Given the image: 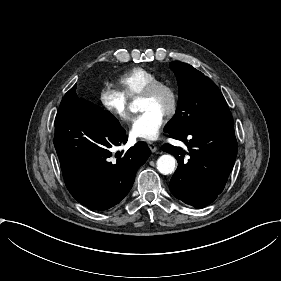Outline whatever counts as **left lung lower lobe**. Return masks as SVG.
Listing matches in <instances>:
<instances>
[{"instance_id":"left-lung-lower-lobe-1","label":"left lung lower lobe","mask_w":281,"mask_h":281,"mask_svg":"<svg viewBox=\"0 0 281 281\" xmlns=\"http://www.w3.org/2000/svg\"><path fill=\"white\" fill-rule=\"evenodd\" d=\"M188 146L189 153L164 144L161 149L178 161L169 188L172 194L195 208L212 203L222 192L237 155L234 122H221L170 134ZM190 139V140H189ZM189 155L188 162L184 160Z\"/></svg>"}]
</instances>
